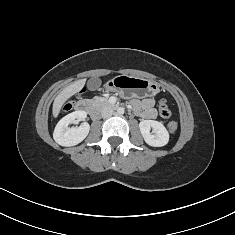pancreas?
Here are the masks:
<instances>
[{"label": "pancreas", "instance_id": "cf45deb5", "mask_svg": "<svg viewBox=\"0 0 235 235\" xmlns=\"http://www.w3.org/2000/svg\"><path fill=\"white\" fill-rule=\"evenodd\" d=\"M92 101H93L94 105L101 106V107L109 105L108 99L105 98V97H97L96 96V97L93 98Z\"/></svg>", "mask_w": 235, "mask_h": 235}]
</instances>
